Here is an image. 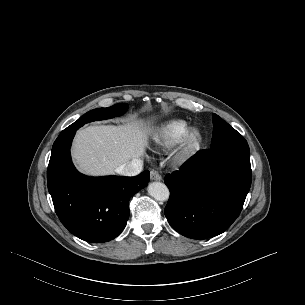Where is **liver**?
Returning a JSON list of instances; mask_svg holds the SVG:
<instances>
[{
	"label": "liver",
	"instance_id": "6515ba94",
	"mask_svg": "<svg viewBox=\"0 0 305 305\" xmlns=\"http://www.w3.org/2000/svg\"><path fill=\"white\" fill-rule=\"evenodd\" d=\"M149 133L135 122L89 126L78 131L72 157L78 170L86 175L112 174L118 166L144 154Z\"/></svg>",
	"mask_w": 305,
	"mask_h": 305
}]
</instances>
